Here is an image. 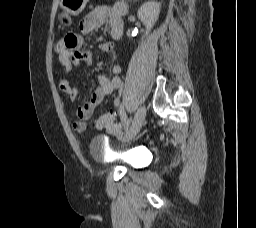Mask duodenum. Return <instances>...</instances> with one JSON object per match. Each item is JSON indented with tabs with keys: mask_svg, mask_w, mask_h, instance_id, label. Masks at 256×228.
Masks as SVG:
<instances>
[{
	"mask_svg": "<svg viewBox=\"0 0 256 228\" xmlns=\"http://www.w3.org/2000/svg\"><path fill=\"white\" fill-rule=\"evenodd\" d=\"M114 35H115V37H118V36H119V33H118V32H115Z\"/></svg>",
	"mask_w": 256,
	"mask_h": 228,
	"instance_id": "duodenum-1",
	"label": "duodenum"
}]
</instances>
